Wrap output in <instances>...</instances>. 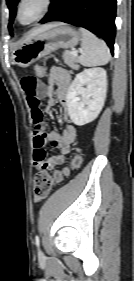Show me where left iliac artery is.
Segmentation results:
<instances>
[{
  "instance_id": "left-iliac-artery-1",
  "label": "left iliac artery",
  "mask_w": 134,
  "mask_h": 281,
  "mask_svg": "<svg viewBox=\"0 0 134 281\" xmlns=\"http://www.w3.org/2000/svg\"><path fill=\"white\" fill-rule=\"evenodd\" d=\"M35 243L37 246H39V236L38 235L35 237Z\"/></svg>"
}]
</instances>
